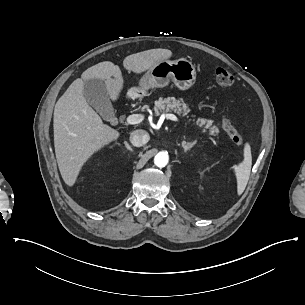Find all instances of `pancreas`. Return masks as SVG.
<instances>
[{
  "instance_id": "cf45deb5",
  "label": "pancreas",
  "mask_w": 305,
  "mask_h": 305,
  "mask_svg": "<svg viewBox=\"0 0 305 305\" xmlns=\"http://www.w3.org/2000/svg\"><path fill=\"white\" fill-rule=\"evenodd\" d=\"M154 111L156 115H159L160 112H174L178 115L186 116L190 109L187 107L186 103H184L183 99H176L175 97H160L157 101H155ZM192 117H195L192 115ZM196 124L199 127L204 126L203 132H206L209 129V135L216 136L219 133V129L217 126L212 125L213 120H208L204 118H198L196 120ZM213 140L212 138H210Z\"/></svg>"
}]
</instances>
